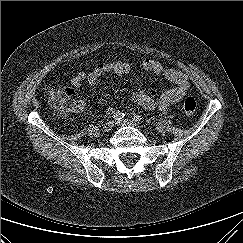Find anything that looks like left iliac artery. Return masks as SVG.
<instances>
[{"label": "left iliac artery", "instance_id": "obj_1", "mask_svg": "<svg viewBox=\"0 0 243 243\" xmlns=\"http://www.w3.org/2000/svg\"><path fill=\"white\" fill-rule=\"evenodd\" d=\"M131 117H132V119H133L135 122H142V118H141V116H139V115H137V114H135V113H132V114H131Z\"/></svg>", "mask_w": 243, "mask_h": 243}]
</instances>
